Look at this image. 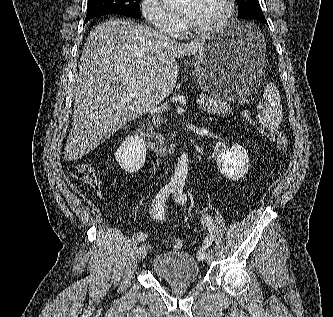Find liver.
I'll use <instances>...</instances> for the list:
<instances>
[{"label":"liver","instance_id":"obj_1","mask_svg":"<svg viewBox=\"0 0 333 317\" xmlns=\"http://www.w3.org/2000/svg\"><path fill=\"white\" fill-rule=\"evenodd\" d=\"M206 39L179 43L127 19L94 27L73 79L74 116L65 159L83 157L163 101L176 85V59L197 54Z\"/></svg>","mask_w":333,"mask_h":317}]
</instances>
